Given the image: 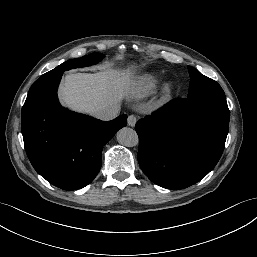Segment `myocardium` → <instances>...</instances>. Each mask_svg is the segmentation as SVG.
Instances as JSON below:
<instances>
[{
    "instance_id": "f54148a6",
    "label": "myocardium",
    "mask_w": 257,
    "mask_h": 257,
    "mask_svg": "<svg viewBox=\"0 0 257 257\" xmlns=\"http://www.w3.org/2000/svg\"><path fill=\"white\" fill-rule=\"evenodd\" d=\"M171 90H172V86L170 84H167L164 87L162 97L160 100L161 103H164L168 100V98L170 97V94H171Z\"/></svg>"
}]
</instances>
